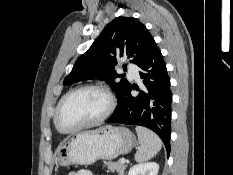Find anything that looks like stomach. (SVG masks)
<instances>
[{
    "label": "stomach",
    "mask_w": 233,
    "mask_h": 175,
    "mask_svg": "<svg viewBox=\"0 0 233 175\" xmlns=\"http://www.w3.org/2000/svg\"><path fill=\"white\" fill-rule=\"evenodd\" d=\"M136 143L134 134L125 127L111 125L80 132L57 150L56 163L90 165L99 159L112 160L129 153Z\"/></svg>",
    "instance_id": "obj_1"
}]
</instances>
